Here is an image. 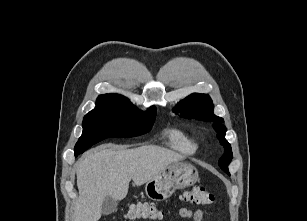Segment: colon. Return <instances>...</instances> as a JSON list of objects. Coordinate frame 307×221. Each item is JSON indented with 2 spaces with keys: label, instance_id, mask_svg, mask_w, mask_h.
<instances>
[{
  "label": "colon",
  "instance_id": "1",
  "mask_svg": "<svg viewBox=\"0 0 307 221\" xmlns=\"http://www.w3.org/2000/svg\"><path fill=\"white\" fill-rule=\"evenodd\" d=\"M181 199L186 202H192L199 205L211 206L216 203L215 196L206 188L195 186L186 190ZM162 217L160 209L152 202L141 201L130 206L126 218L129 221L138 219L158 220Z\"/></svg>",
  "mask_w": 307,
  "mask_h": 221
}]
</instances>
